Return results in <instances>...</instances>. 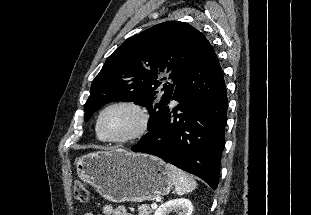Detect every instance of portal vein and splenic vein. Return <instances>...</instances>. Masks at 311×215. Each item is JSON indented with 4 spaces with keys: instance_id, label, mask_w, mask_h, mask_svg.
Wrapping results in <instances>:
<instances>
[{
    "instance_id": "1",
    "label": "portal vein and splenic vein",
    "mask_w": 311,
    "mask_h": 215,
    "mask_svg": "<svg viewBox=\"0 0 311 215\" xmlns=\"http://www.w3.org/2000/svg\"><path fill=\"white\" fill-rule=\"evenodd\" d=\"M151 208L153 209L157 208V204L156 203L151 204Z\"/></svg>"
}]
</instances>
